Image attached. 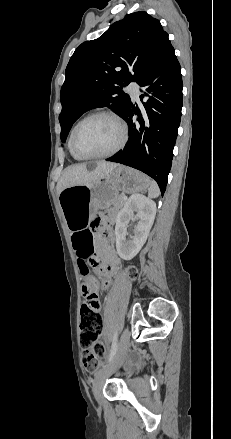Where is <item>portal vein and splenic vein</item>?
Masks as SVG:
<instances>
[{"instance_id":"18ae733b","label":"portal vein and splenic vein","mask_w":231,"mask_h":439,"mask_svg":"<svg viewBox=\"0 0 231 439\" xmlns=\"http://www.w3.org/2000/svg\"><path fill=\"white\" fill-rule=\"evenodd\" d=\"M123 199L126 200V199H127V196L123 195Z\"/></svg>"}]
</instances>
